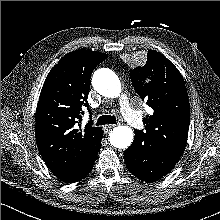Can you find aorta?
<instances>
[{"instance_id":"1","label":"aorta","mask_w":220,"mask_h":220,"mask_svg":"<svg viewBox=\"0 0 220 220\" xmlns=\"http://www.w3.org/2000/svg\"><path fill=\"white\" fill-rule=\"evenodd\" d=\"M94 89L102 96L116 98L120 95L121 84L114 72L109 69H99L92 78ZM134 133L127 126L115 127L110 133V143L116 147L125 149L133 142Z\"/></svg>"}]
</instances>
